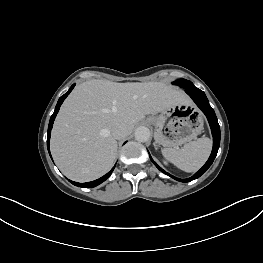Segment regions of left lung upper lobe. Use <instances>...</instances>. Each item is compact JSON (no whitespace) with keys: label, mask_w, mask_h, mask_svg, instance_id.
I'll return each mask as SVG.
<instances>
[{"label":"left lung upper lobe","mask_w":263,"mask_h":263,"mask_svg":"<svg viewBox=\"0 0 263 263\" xmlns=\"http://www.w3.org/2000/svg\"><path fill=\"white\" fill-rule=\"evenodd\" d=\"M174 85H178L182 88H193L195 87L192 82L186 79H179L173 82Z\"/></svg>","instance_id":"1"}]
</instances>
